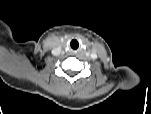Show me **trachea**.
I'll list each match as a JSON object with an SVG mask.
<instances>
[{
  "mask_svg": "<svg viewBox=\"0 0 151 114\" xmlns=\"http://www.w3.org/2000/svg\"><path fill=\"white\" fill-rule=\"evenodd\" d=\"M73 42H74V40L70 43L71 48H73V49H77V48H78V45L74 47V46H73Z\"/></svg>",
  "mask_w": 151,
  "mask_h": 114,
  "instance_id": "3493384b",
  "label": "trachea"
}]
</instances>
